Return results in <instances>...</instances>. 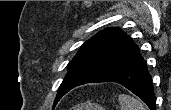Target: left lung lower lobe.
Returning a JSON list of instances; mask_svg holds the SVG:
<instances>
[{"label": "left lung lower lobe", "mask_w": 171, "mask_h": 110, "mask_svg": "<svg viewBox=\"0 0 171 110\" xmlns=\"http://www.w3.org/2000/svg\"><path fill=\"white\" fill-rule=\"evenodd\" d=\"M139 53L138 50L119 65L105 71L88 83H119L141 98L151 110H155L156 98L153 92L152 79L147 71L145 61Z\"/></svg>", "instance_id": "obj_1"}]
</instances>
